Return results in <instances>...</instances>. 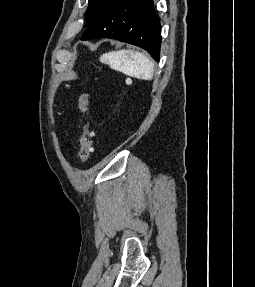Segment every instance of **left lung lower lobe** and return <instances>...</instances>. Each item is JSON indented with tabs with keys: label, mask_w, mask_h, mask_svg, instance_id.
<instances>
[{
	"label": "left lung lower lobe",
	"mask_w": 255,
	"mask_h": 287,
	"mask_svg": "<svg viewBox=\"0 0 255 287\" xmlns=\"http://www.w3.org/2000/svg\"><path fill=\"white\" fill-rule=\"evenodd\" d=\"M87 27L82 40L117 39L147 50L159 61L161 25L152 0H114Z\"/></svg>",
	"instance_id": "0a47b994"
}]
</instances>
